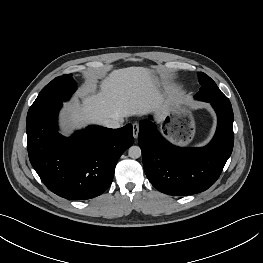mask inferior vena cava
I'll return each mask as SVG.
<instances>
[{
  "label": "inferior vena cava",
  "mask_w": 263,
  "mask_h": 263,
  "mask_svg": "<svg viewBox=\"0 0 263 263\" xmlns=\"http://www.w3.org/2000/svg\"><path fill=\"white\" fill-rule=\"evenodd\" d=\"M122 119L119 117H115V118H111V119H107L103 122V125L108 127V128H120L122 126Z\"/></svg>",
  "instance_id": "602c4592"
}]
</instances>
